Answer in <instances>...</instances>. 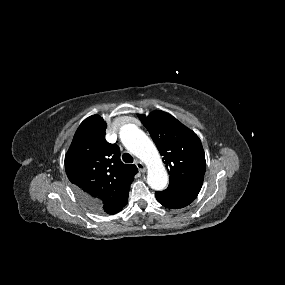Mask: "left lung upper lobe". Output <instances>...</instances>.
<instances>
[{
	"mask_svg": "<svg viewBox=\"0 0 285 285\" xmlns=\"http://www.w3.org/2000/svg\"><path fill=\"white\" fill-rule=\"evenodd\" d=\"M170 174L169 185L200 191L206 169L197 135L163 111L140 115Z\"/></svg>",
	"mask_w": 285,
	"mask_h": 285,
	"instance_id": "5c2ea615",
	"label": "left lung upper lobe"
}]
</instances>
